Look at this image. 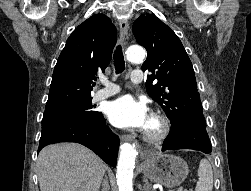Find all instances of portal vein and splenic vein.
Instances as JSON below:
<instances>
[{
  "mask_svg": "<svg viewBox=\"0 0 251 191\" xmlns=\"http://www.w3.org/2000/svg\"><path fill=\"white\" fill-rule=\"evenodd\" d=\"M175 188H177V185H174V187L169 188V189H168V191H174V190H175Z\"/></svg>",
  "mask_w": 251,
  "mask_h": 191,
  "instance_id": "18ae733b",
  "label": "portal vein and splenic vein"
}]
</instances>
